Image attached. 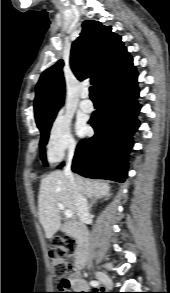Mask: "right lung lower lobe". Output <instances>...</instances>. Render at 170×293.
Instances as JSON below:
<instances>
[{
    "label": "right lung lower lobe",
    "instance_id": "1",
    "mask_svg": "<svg viewBox=\"0 0 170 293\" xmlns=\"http://www.w3.org/2000/svg\"><path fill=\"white\" fill-rule=\"evenodd\" d=\"M137 76L132 67L98 90L101 108L89 121L95 135L77 145L72 165L75 173L88 178L125 181L132 136L139 127Z\"/></svg>",
    "mask_w": 170,
    "mask_h": 293
}]
</instances>
